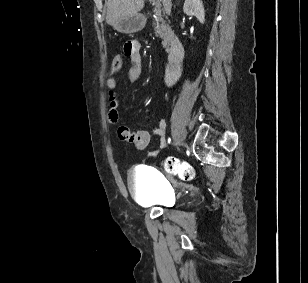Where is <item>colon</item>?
Wrapping results in <instances>:
<instances>
[{"label": "colon", "mask_w": 308, "mask_h": 283, "mask_svg": "<svg viewBox=\"0 0 308 283\" xmlns=\"http://www.w3.org/2000/svg\"><path fill=\"white\" fill-rule=\"evenodd\" d=\"M122 68V58L120 55H115L112 60V70L114 72L119 71ZM164 168L167 172L178 176L183 180H191L194 178L193 168L185 163L180 161L177 158L169 157L164 161Z\"/></svg>", "instance_id": "1"}]
</instances>
